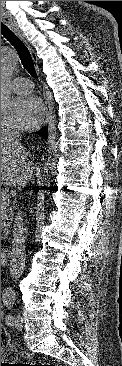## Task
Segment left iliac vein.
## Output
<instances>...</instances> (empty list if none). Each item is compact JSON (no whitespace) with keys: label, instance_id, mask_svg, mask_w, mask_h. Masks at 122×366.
Here are the masks:
<instances>
[{"label":"left iliac vein","instance_id":"1","mask_svg":"<svg viewBox=\"0 0 122 366\" xmlns=\"http://www.w3.org/2000/svg\"><path fill=\"white\" fill-rule=\"evenodd\" d=\"M15 327L17 328V329H22L23 328V324H22V317L20 316V315H18L17 317H16V320H15Z\"/></svg>","mask_w":122,"mask_h":366}]
</instances>
